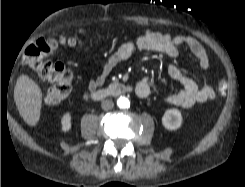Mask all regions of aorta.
Masks as SVG:
<instances>
[{
  "label": "aorta",
  "mask_w": 245,
  "mask_h": 187,
  "mask_svg": "<svg viewBox=\"0 0 245 187\" xmlns=\"http://www.w3.org/2000/svg\"><path fill=\"white\" fill-rule=\"evenodd\" d=\"M117 106L120 109H126L130 107V101L128 98L126 97H119L117 100Z\"/></svg>",
  "instance_id": "aorta-1"
}]
</instances>
